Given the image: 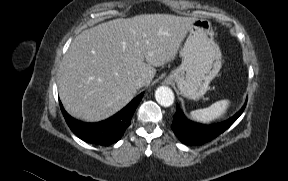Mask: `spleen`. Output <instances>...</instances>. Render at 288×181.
Here are the masks:
<instances>
[{"label": "spleen", "mask_w": 288, "mask_h": 181, "mask_svg": "<svg viewBox=\"0 0 288 181\" xmlns=\"http://www.w3.org/2000/svg\"><path fill=\"white\" fill-rule=\"evenodd\" d=\"M229 100H220L213 103L211 106L203 109H197L190 112L191 118L200 122H211L222 117L228 106Z\"/></svg>", "instance_id": "spleen-1"}]
</instances>
